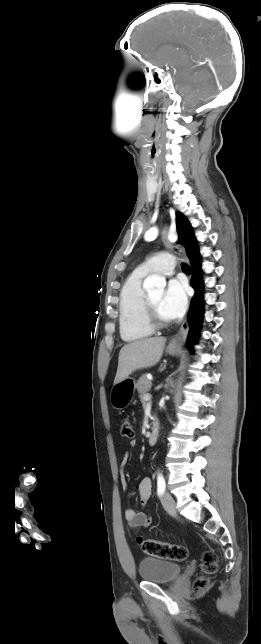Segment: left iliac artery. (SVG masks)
I'll list each match as a JSON object with an SVG mask.
<instances>
[{"label":"left iliac artery","instance_id":"obj_1","mask_svg":"<svg viewBox=\"0 0 261 644\" xmlns=\"http://www.w3.org/2000/svg\"><path fill=\"white\" fill-rule=\"evenodd\" d=\"M166 483L163 475L159 472L157 475V493L162 495L165 491Z\"/></svg>","mask_w":261,"mask_h":644}]
</instances>
